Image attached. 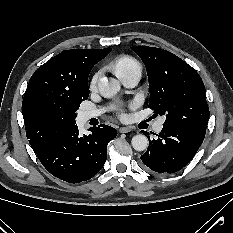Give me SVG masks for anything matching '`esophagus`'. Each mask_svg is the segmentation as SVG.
<instances>
[{"label":"esophagus","mask_w":233,"mask_h":233,"mask_svg":"<svg viewBox=\"0 0 233 233\" xmlns=\"http://www.w3.org/2000/svg\"><path fill=\"white\" fill-rule=\"evenodd\" d=\"M132 131V128L129 126H122L119 128L120 133H129Z\"/></svg>","instance_id":"obj_1"}]
</instances>
